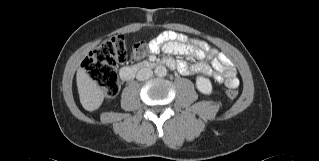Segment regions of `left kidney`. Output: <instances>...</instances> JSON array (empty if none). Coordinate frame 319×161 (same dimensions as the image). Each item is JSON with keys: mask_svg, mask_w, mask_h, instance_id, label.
Segmentation results:
<instances>
[{"mask_svg": "<svg viewBox=\"0 0 319 161\" xmlns=\"http://www.w3.org/2000/svg\"><path fill=\"white\" fill-rule=\"evenodd\" d=\"M196 87L203 94L209 95L212 93L211 81L208 78H205L203 76L197 77Z\"/></svg>", "mask_w": 319, "mask_h": 161, "instance_id": "5707ae66", "label": "left kidney"}]
</instances>
